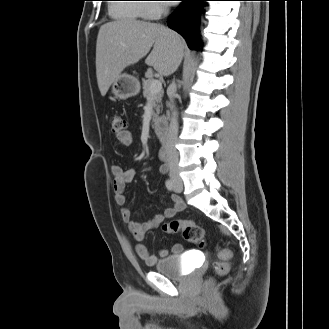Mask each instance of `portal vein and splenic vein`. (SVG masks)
<instances>
[{"instance_id":"18ae733b","label":"portal vein and splenic vein","mask_w":329,"mask_h":329,"mask_svg":"<svg viewBox=\"0 0 329 329\" xmlns=\"http://www.w3.org/2000/svg\"><path fill=\"white\" fill-rule=\"evenodd\" d=\"M162 90V83L158 79H154L150 85V92L152 95L160 92Z\"/></svg>"}]
</instances>
